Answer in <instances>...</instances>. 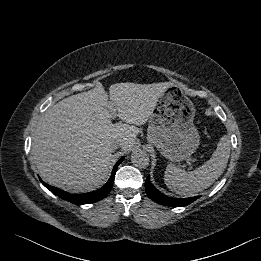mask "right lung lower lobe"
<instances>
[{"label":"right lung lower lobe","instance_id":"1","mask_svg":"<svg viewBox=\"0 0 261 261\" xmlns=\"http://www.w3.org/2000/svg\"><path fill=\"white\" fill-rule=\"evenodd\" d=\"M123 160H124V157L120 158L118 160V162L115 164V166L112 170L111 177L108 180V182L102 188H100L97 191L92 192V193L74 195V194H70L68 192H65L63 190H60L58 188L52 187V186H50V185H48L44 182H42V183L52 193L56 194L60 198L67 200V201H69L73 204L82 205V204L93 203V202H96V201H99V200L105 198L108 195V193L112 189V186H113V183H114V177H115L117 167Z\"/></svg>","mask_w":261,"mask_h":261}]
</instances>
